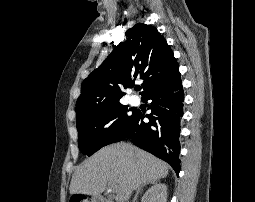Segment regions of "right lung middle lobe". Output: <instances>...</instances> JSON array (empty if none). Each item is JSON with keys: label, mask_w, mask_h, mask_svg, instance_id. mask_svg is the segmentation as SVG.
Returning <instances> with one entry per match:
<instances>
[{"label": "right lung middle lobe", "mask_w": 255, "mask_h": 202, "mask_svg": "<svg viewBox=\"0 0 255 202\" xmlns=\"http://www.w3.org/2000/svg\"><path fill=\"white\" fill-rule=\"evenodd\" d=\"M127 111V106L117 103L76 119L79 149L90 156L103 146L121 141L137 114V111L132 114Z\"/></svg>", "instance_id": "dd1d6c3e"}]
</instances>
